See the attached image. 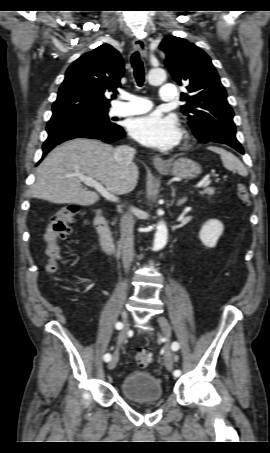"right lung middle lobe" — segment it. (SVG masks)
Wrapping results in <instances>:
<instances>
[{"mask_svg": "<svg viewBox=\"0 0 270 453\" xmlns=\"http://www.w3.org/2000/svg\"><path fill=\"white\" fill-rule=\"evenodd\" d=\"M52 121L54 120H77V121H84L96 125H104L109 126L111 125V121L108 117V110L102 111H85L78 114L60 117V118H51Z\"/></svg>", "mask_w": 270, "mask_h": 453, "instance_id": "dd1d6c3e", "label": "right lung middle lobe"}]
</instances>
